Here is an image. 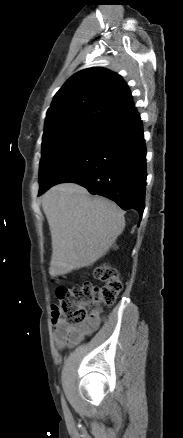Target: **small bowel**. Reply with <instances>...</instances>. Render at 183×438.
<instances>
[{"label": "small bowel", "instance_id": "obj_1", "mask_svg": "<svg viewBox=\"0 0 183 438\" xmlns=\"http://www.w3.org/2000/svg\"><path fill=\"white\" fill-rule=\"evenodd\" d=\"M101 322L102 316L101 312L98 310L90 313L85 324L78 328L70 327L62 320H58L54 323V336L56 343L59 346L65 344H76L85 336L95 332L101 325Z\"/></svg>", "mask_w": 183, "mask_h": 438}]
</instances>
